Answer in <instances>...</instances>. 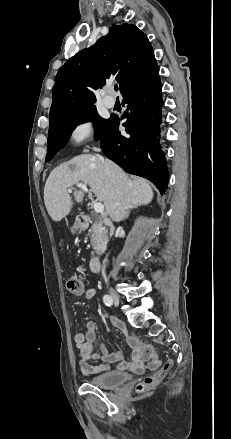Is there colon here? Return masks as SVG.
I'll use <instances>...</instances> for the list:
<instances>
[{
  "label": "colon",
  "mask_w": 231,
  "mask_h": 439,
  "mask_svg": "<svg viewBox=\"0 0 231 439\" xmlns=\"http://www.w3.org/2000/svg\"><path fill=\"white\" fill-rule=\"evenodd\" d=\"M67 289L72 294H80L84 290L83 282L78 278H69L66 282ZM141 342L135 338L131 337L129 339V344L135 348ZM141 354L144 360L148 361V366L152 370H156L153 374L143 378L136 386L138 392H143L145 390L155 387L167 374L171 368V362H166L162 366H159V361L156 353L152 346L143 344L141 348Z\"/></svg>",
  "instance_id": "1"
}]
</instances>
